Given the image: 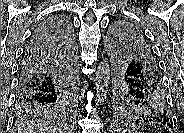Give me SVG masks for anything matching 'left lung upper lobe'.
<instances>
[{"label":"left lung upper lobe","instance_id":"obj_1","mask_svg":"<svg viewBox=\"0 0 184 133\" xmlns=\"http://www.w3.org/2000/svg\"><path fill=\"white\" fill-rule=\"evenodd\" d=\"M109 54L116 114L126 115L136 123L146 122L153 108L150 101L139 94L138 86L152 93L150 85L162 80L159 65L144 35L130 23H117L110 33ZM167 109L169 111L168 104Z\"/></svg>","mask_w":184,"mask_h":133}]
</instances>
